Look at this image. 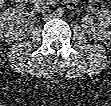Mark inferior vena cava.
<instances>
[{"label":"inferior vena cava","instance_id":"obj_1","mask_svg":"<svg viewBox=\"0 0 111 106\" xmlns=\"http://www.w3.org/2000/svg\"><path fill=\"white\" fill-rule=\"evenodd\" d=\"M34 8L41 13H46L49 11V7L46 5L45 1L39 0L35 3Z\"/></svg>","mask_w":111,"mask_h":106}]
</instances>
